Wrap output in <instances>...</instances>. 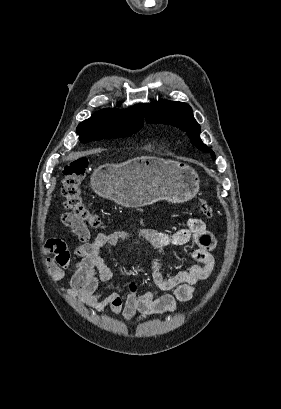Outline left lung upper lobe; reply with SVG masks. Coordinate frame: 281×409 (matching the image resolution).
Here are the masks:
<instances>
[{"instance_id":"5c2ea615","label":"left lung upper lobe","mask_w":281,"mask_h":409,"mask_svg":"<svg viewBox=\"0 0 281 409\" xmlns=\"http://www.w3.org/2000/svg\"><path fill=\"white\" fill-rule=\"evenodd\" d=\"M145 119L148 123H163L179 127L187 132L191 143L198 149L211 153L215 160L214 152L200 139V126L193 117L191 107L182 102L159 100L150 104H142Z\"/></svg>"}]
</instances>
